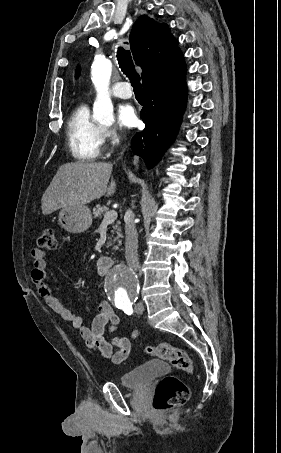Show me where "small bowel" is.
I'll list each match as a JSON object with an SVG mask.
<instances>
[{
	"label": "small bowel",
	"instance_id": "1",
	"mask_svg": "<svg viewBox=\"0 0 281 453\" xmlns=\"http://www.w3.org/2000/svg\"><path fill=\"white\" fill-rule=\"evenodd\" d=\"M31 258L33 266L29 276L31 281L36 285L39 296L42 297L46 304L59 314L62 319L68 321L79 331L86 346L91 350L98 351L116 365L124 362L130 354L131 341L136 340L140 332H134L131 339L114 336L119 318L107 300L100 302L98 315L92 321L91 326L84 324L81 316L75 314L69 307L62 304L51 291L47 283V258L44 251L32 250ZM106 328L111 336L110 339L105 337ZM115 349L117 350L116 352H114Z\"/></svg>",
	"mask_w": 281,
	"mask_h": 453
}]
</instances>
